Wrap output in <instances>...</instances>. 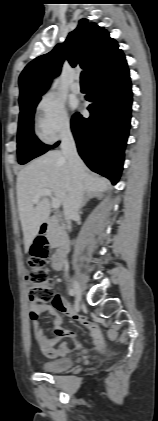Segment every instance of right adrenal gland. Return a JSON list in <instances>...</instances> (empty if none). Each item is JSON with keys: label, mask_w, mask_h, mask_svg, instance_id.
I'll list each match as a JSON object with an SVG mask.
<instances>
[{"label": "right adrenal gland", "mask_w": 158, "mask_h": 421, "mask_svg": "<svg viewBox=\"0 0 158 421\" xmlns=\"http://www.w3.org/2000/svg\"><path fill=\"white\" fill-rule=\"evenodd\" d=\"M97 196H100V195H97ZM91 197H92V196L87 195V196L85 197V199L83 200V202H82V204H81V207H80V208L84 207V206L86 205L87 201H88Z\"/></svg>", "instance_id": "obj_1"}]
</instances>
